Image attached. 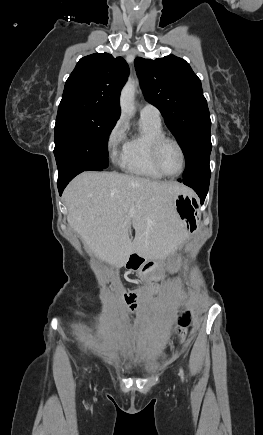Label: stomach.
Masks as SVG:
<instances>
[{"instance_id":"0dacf381","label":"stomach","mask_w":263,"mask_h":435,"mask_svg":"<svg viewBox=\"0 0 263 435\" xmlns=\"http://www.w3.org/2000/svg\"><path fill=\"white\" fill-rule=\"evenodd\" d=\"M177 214L183 224H180V233H199L198 199L187 190L178 194L174 200ZM131 271H138L143 278L146 274L154 272L158 268V263L154 259L143 257L138 253H132L125 263ZM149 281H153L155 276L149 274Z\"/></svg>"}]
</instances>
